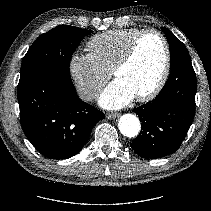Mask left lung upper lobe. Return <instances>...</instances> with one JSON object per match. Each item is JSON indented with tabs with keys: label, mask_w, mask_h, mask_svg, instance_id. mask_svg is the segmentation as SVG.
I'll return each mask as SVG.
<instances>
[{
	"label": "left lung upper lobe",
	"mask_w": 211,
	"mask_h": 211,
	"mask_svg": "<svg viewBox=\"0 0 211 211\" xmlns=\"http://www.w3.org/2000/svg\"><path fill=\"white\" fill-rule=\"evenodd\" d=\"M162 30L170 46V68L181 61L191 60L185 45L169 29L162 27Z\"/></svg>",
	"instance_id": "1"
}]
</instances>
